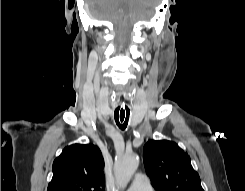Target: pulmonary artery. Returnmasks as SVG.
Returning <instances> with one entry per match:
<instances>
[{
  "label": "pulmonary artery",
  "mask_w": 245,
  "mask_h": 191,
  "mask_svg": "<svg viewBox=\"0 0 245 191\" xmlns=\"http://www.w3.org/2000/svg\"><path fill=\"white\" fill-rule=\"evenodd\" d=\"M127 191H153V188L147 176L137 174Z\"/></svg>",
  "instance_id": "pulmonary-artery-1"
}]
</instances>
